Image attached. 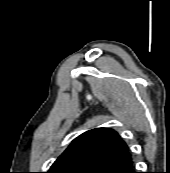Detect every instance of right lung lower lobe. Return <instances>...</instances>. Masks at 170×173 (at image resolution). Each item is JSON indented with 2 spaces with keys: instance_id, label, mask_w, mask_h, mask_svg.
Returning <instances> with one entry per match:
<instances>
[{
  "instance_id": "98d812e1",
  "label": "right lung lower lobe",
  "mask_w": 170,
  "mask_h": 173,
  "mask_svg": "<svg viewBox=\"0 0 170 173\" xmlns=\"http://www.w3.org/2000/svg\"><path fill=\"white\" fill-rule=\"evenodd\" d=\"M104 173H137V172L135 171L132 159H129L125 162H122L118 165L109 168Z\"/></svg>"
}]
</instances>
